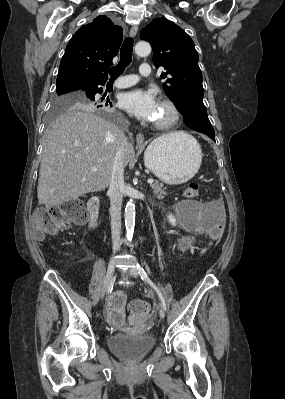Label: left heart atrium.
Segmentation results:
<instances>
[{
  "mask_svg": "<svg viewBox=\"0 0 285 399\" xmlns=\"http://www.w3.org/2000/svg\"><path fill=\"white\" fill-rule=\"evenodd\" d=\"M120 107L144 121H153L158 111V102L151 91L133 89L123 93Z\"/></svg>",
  "mask_w": 285,
  "mask_h": 399,
  "instance_id": "39dd6f15",
  "label": "left heart atrium"
}]
</instances>
